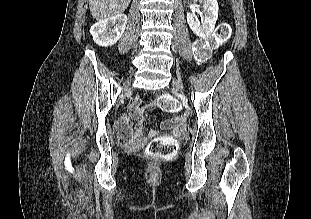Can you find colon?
I'll return each instance as SVG.
<instances>
[{"mask_svg": "<svg viewBox=\"0 0 311 219\" xmlns=\"http://www.w3.org/2000/svg\"><path fill=\"white\" fill-rule=\"evenodd\" d=\"M231 35L230 25L228 23H220L212 35L205 38H199L194 43V55L196 59L204 61L207 60L214 48L224 44L228 41ZM155 105L163 111L173 112L177 108L176 101L165 94H160ZM123 133L120 137L121 142L125 143L122 139ZM178 149L176 140L170 137L158 136L154 137L147 146L146 153L149 156L161 159L173 157Z\"/></svg>", "mask_w": 311, "mask_h": 219, "instance_id": "colon-1", "label": "colon"}]
</instances>
